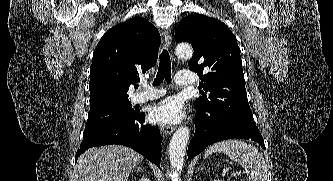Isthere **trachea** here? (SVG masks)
Returning a JSON list of instances; mask_svg holds the SVG:
<instances>
[{
    "label": "trachea",
    "mask_w": 333,
    "mask_h": 181,
    "mask_svg": "<svg viewBox=\"0 0 333 181\" xmlns=\"http://www.w3.org/2000/svg\"><path fill=\"white\" fill-rule=\"evenodd\" d=\"M163 79H165L168 83L171 82V61L169 53L166 49H164L160 54L159 69L153 85H159Z\"/></svg>",
    "instance_id": "trachea-1"
}]
</instances>
